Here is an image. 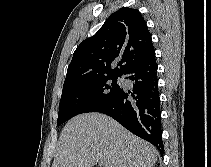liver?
I'll return each mask as SVG.
<instances>
[{
    "label": "liver",
    "mask_w": 211,
    "mask_h": 167,
    "mask_svg": "<svg viewBox=\"0 0 211 167\" xmlns=\"http://www.w3.org/2000/svg\"><path fill=\"white\" fill-rule=\"evenodd\" d=\"M158 150L109 116L81 114L67 122L59 138L52 167H152Z\"/></svg>",
    "instance_id": "6515ba94"
}]
</instances>
